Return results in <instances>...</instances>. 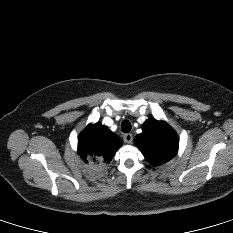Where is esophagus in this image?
Here are the masks:
<instances>
[{
    "instance_id": "esophagus-1",
    "label": "esophagus",
    "mask_w": 233,
    "mask_h": 233,
    "mask_svg": "<svg viewBox=\"0 0 233 233\" xmlns=\"http://www.w3.org/2000/svg\"><path fill=\"white\" fill-rule=\"evenodd\" d=\"M123 139H124L125 143L131 144L133 141V136H132V134L127 133L124 135Z\"/></svg>"
}]
</instances>
